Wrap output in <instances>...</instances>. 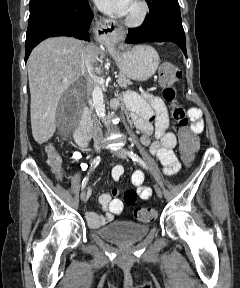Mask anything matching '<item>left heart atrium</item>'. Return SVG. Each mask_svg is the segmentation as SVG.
Returning <instances> with one entry per match:
<instances>
[{
	"label": "left heart atrium",
	"instance_id": "left-heart-atrium-1",
	"mask_svg": "<svg viewBox=\"0 0 240 288\" xmlns=\"http://www.w3.org/2000/svg\"><path fill=\"white\" fill-rule=\"evenodd\" d=\"M96 5L104 12L123 16L129 11L133 0H94Z\"/></svg>",
	"mask_w": 240,
	"mask_h": 288
}]
</instances>
